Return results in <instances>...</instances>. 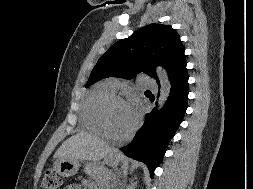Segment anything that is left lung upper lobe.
<instances>
[{"instance_id": "5c2ea615", "label": "left lung upper lobe", "mask_w": 253, "mask_h": 189, "mask_svg": "<svg viewBox=\"0 0 253 189\" xmlns=\"http://www.w3.org/2000/svg\"><path fill=\"white\" fill-rule=\"evenodd\" d=\"M184 51L179 34L170 25H147L129 38L115 43L100 57L86 87L103 78L130 79L141 72L159 83L155 67L162 66L171 77L186 60Z\"/></svg>"}]
</instances>
